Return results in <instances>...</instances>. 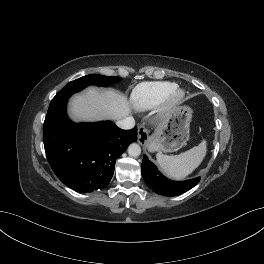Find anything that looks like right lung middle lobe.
Instances as JSON below:
<instances>
[{
  "mask_svg": "<svg viewBox=\"0 0 264 264\" xmlns=\"http://www.w3.org/2000/svg\"><path fill=\"white\" fill-rule=\"evenodd\" d=\"M120 77L113 76H103V75H86L79 79H76L68 83L61 91H59L56 96L52 99L48 112L57 108L63 102L75 92L81 91L90 84H97L98 86L106 87L109 84L118 82Z\"/></svg>",
  "mask_w": 264,
  "mask_h": 264,
  "instance_id": "1",
  "label": "right lung middle lobe"
}]
</instances>
